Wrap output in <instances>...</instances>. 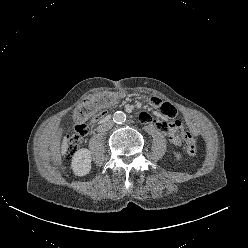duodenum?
<instances>
[{"label":"duodenum","instance_id":"duodenum-1","mask_svg":"<svg viewBox=\"0 0 248 248\" xmlns=\"http://www.w3.org/2000/svg\"><path fill=\"white\" fill-rule=\"evenodd\" d=\"M105 120V117L101 118L99 123L103 122Z\"/></svg>","mask_w":248,"mask_h":248}]
</instances>
